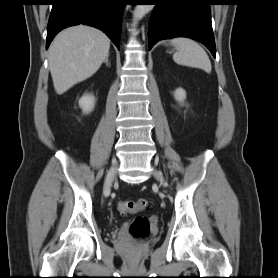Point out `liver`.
<instances>
[{
	"instance_id": "liver-1",
	"label": "liver",
	"mask_w": 278,
	"mask_h": 278,
	"mask_svg": "<svg viewBox=\"0 0 278 278\" xmlns=\"http://www.w3.org/2000/svg\"><path fill=\"white\" fill-rule=\"evenodd\" d=\"M110 39L100 30L77 25L61 31L49 50V69L57 94L91 77L109 55Z\"/></svg>"
}]
</instances>
